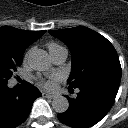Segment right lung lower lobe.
Listing matches in <instances>:
<instances>
[{
  "label": "right lung lower lobe",
  "mask_w": 128,
  "mask_h": 128,
  "mask_svg": "<svg viewBox=\"0 0 128 128\" xmlns=\"http://www.w3.org/2000/svg\"><path fill=\"white\" fill-rule=\"evenodd\" d=\"M41 92L25 82L22 89L0 84V128H15L28 117L32 104Z\"/></svg>",
  "instance_id": "obj_1"
}]
</instances>
